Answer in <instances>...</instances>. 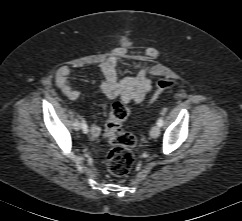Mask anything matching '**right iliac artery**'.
Listing matches in <instances>:
<instances>
[{
    "label": "right iliac artery",
    "mask_w": 242,
    "mask_h": 221,
    "mask_svg": "<svg viewBox=\"0 0 242 221\" xmlns=\"http://www.w3.org/2000/svg\"><path fill=\"white\" fill-rule=\"evenodd\" d=\"M81 127H82V130H83V132L84 133H87L88 132V126H87V124H86V122H85V120L81 117Z\"/></svg>",
    "instance_id": "obj_1"
}]
</instances>
